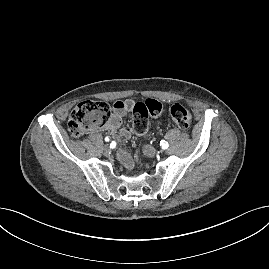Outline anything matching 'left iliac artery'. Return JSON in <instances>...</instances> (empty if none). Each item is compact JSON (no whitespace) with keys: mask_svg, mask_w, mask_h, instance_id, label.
<instances>
[{"mask_svg":"<svg viewBox=\"0 0 269 269\" xmlns=\"http://www.w3.org/2000/svg\"><path fill=\"white\" fill-rule=\"evenodd\" d=\"M160 145H161L162 149H167V148L169 147L168 142H166V141H164V140H162V141L160 142Z\"/></svg>","mask_w":269,"mask_h":269,"instance_id":"44dca946","label":"left iliac artery"}]
</instances>
